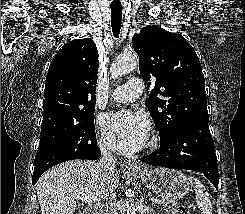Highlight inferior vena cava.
<instances>
[{"instance_id": "inferior-vena-cava-1", "label": "inferior vena cava", "mask_w": 245, "mask_h": 214, "mask_svg": "<svg viewBox=\"0 0 245 214\" xmlns=\"http://www.w3.org/2000/svg\"><path fill=\"white\" fill-rule=\"evenodd\" d=\"M99 147L102 153V157L100 158V160L96 163V167L102 171L105 172H112L115 170V162H116V158L115 156L107 150V148L105 147V145L103 143H99ZM115 198V191L112 192L110 199V207H111V213L109 214H118L116 212L115 209V202H112L113 199Z\"/></svg>"}]
</instances>
